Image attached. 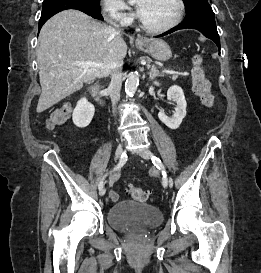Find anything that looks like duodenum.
Listing matches in <instances>:
<instances>
[{"mask_svg": "<svg viewBox=\"0 0 261 273\" xmlns=\"http://www.w3.org/2000/svg\"><path fill=\"white\" fill-rule=\"evenodd\" d=\"M90 95L95 98L100 104H104V99L100 95V87L98 84H94L90 87Z\"/></svg>", "mask_w": 261, "mask_h": 273, "instance_id": "duodenum-1", "label": "duodenum"}]
</instances>
